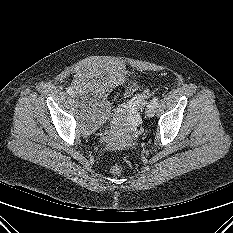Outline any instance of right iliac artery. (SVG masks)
I'll return each mask as SVG.
<instances>
[{
    "label": "right iliac artery",
    "mask_w": 233,
    "mask_h": 233,
    "mask_svg": "<svg viewBox=\"0 0 233 233\" xmlns=\"http://www.w3.org/2000/svg\"><path fill=\"white\" fill-rule=\"evenodd\" d=\"M67 92H68L69 94H72V92H73V91H72V88H68V89H67Z\"/></svg>",
    "instance_id": "1"
}]
</instances>
